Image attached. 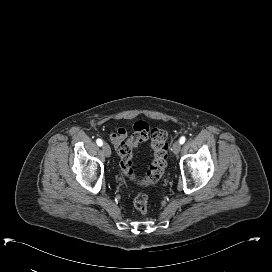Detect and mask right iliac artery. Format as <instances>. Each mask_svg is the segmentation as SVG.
<instances>
[{
    "instance_id": "right-iliac-artery-1",
    "label": "right iliac artery",
    "mask_w": 272,
    "mask_h": 272,
    "mask_svg": "<svg viewBox=\"0 0 272 272\" xmlns=\"http://www.w3.org/2000/svg\"><path fill=\"white\" fill-rule=\"evenodd\" d=\"M96 143L98 146H102L103 145V141L101 139H97Z\"/></svg>"
}]
</instances>
